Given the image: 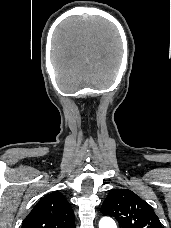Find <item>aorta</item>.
I'll use <instances>...</instances> for the list:
<instances>
[{"mask_svg":"<svg viewBox=\"0 0 171 228\" xmlns=\"http://www.w3.org/2000/svg\"><path fill=\"white\" fill-rule=\"evenodd\" d=\"M99 228H117V226L113 219L104 217L99 222Z\"/></svg>","mask_w":171,"mask_h":228,"instance_id":"1","label":"aorta"}]
</instances>
